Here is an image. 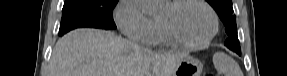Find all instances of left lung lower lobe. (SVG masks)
<instances>
[{
  "instance_id": "1",
  "label": "left lung lower lobe",
  "mask_w": 287,
  "mask_h": 76,
  "mask_svg": "<svg viewBox=\"0 0 287 76\" xmlns=\"http://www.w3.org/2000/svg\"><path fill=\"white\" fill-rule=\"evenodd\" d=\"M236 53H238L239 55H241V52H236Z\"/></svg>"
}]
</instances>
